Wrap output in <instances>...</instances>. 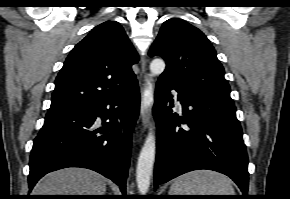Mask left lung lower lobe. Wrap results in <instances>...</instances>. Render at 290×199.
Returning <instances> with one entry per match:
<instances>
[{
  "label": "left lung lower lobe",
  "instance_id": "left-lung-lower-lobe-1",
  "mask_svg": "<svg viewBox=\"0 0 290 199\" xmlns=\"http://www.w3.org/2000/svg\"><path fill=\"white\" fill-rule=\"evenodd\" d=\"M171 90L178 92L182 116L172 112ZM153 111L158 129L155 186L192 170L209 169L233 179L247 198L248 157L234 103L160 76Z\"/></svg>",
  "mask_w": 290,
  "mask_h": 199
}]
</instances>
